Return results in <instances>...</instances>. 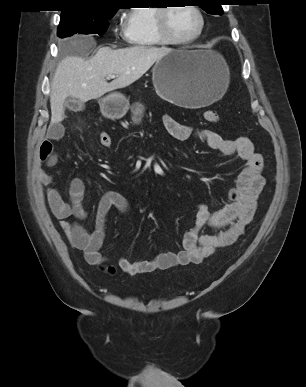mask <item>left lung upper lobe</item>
I'll return each mask as SVG.
<instances>
[{
  "mask_svg": "<svg viewBox=\"0 0 306 387\" xmlns=\"http://www.w3.org/2000/svg\"><path fill=\"white\" fill-rule=\"evenodd\" d=\"M223 0H197L199 7H201L208 14L221 15L223 9L221 3Z\"/></svg>",
  "mask_w": 306,
  "mask_h": 387,
  "instance_id": "left-lung-upper-lobe-1",
  "label": "left lung upper lobe"
}]
</instances>
